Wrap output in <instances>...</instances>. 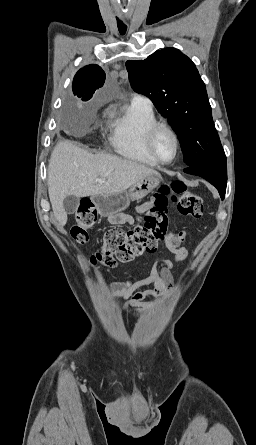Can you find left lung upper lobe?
Returning a JSON list of instances; mask_svg holds the SVG:
<instances>
[{"label": "left lung upper lobe", "mask_w": 256, "mask_h": 445, "mask_svg": "<svg viewBox=\"0 0 256 445\" xmlns=\"http://www.w3.org/2000/svg\"><path fill=\"white\" fill-rule=\"evenodd\" d=\"M126 68L134 91L149 97L172 125L187 165L226 159L205 84L186 55L166 48L143 61H127Z\"/></svg>", "instance_id": "left-lung-upper-lobe-1"}]
</instances>
